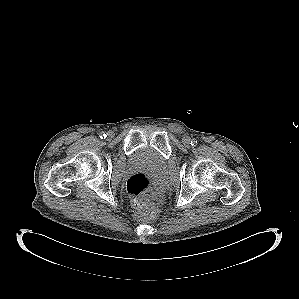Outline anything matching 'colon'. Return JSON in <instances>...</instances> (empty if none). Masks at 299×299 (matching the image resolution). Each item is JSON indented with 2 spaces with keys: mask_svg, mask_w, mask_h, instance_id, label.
Here are the masks:
<instances>
[{
  "mask_svg": "<svg viewBox=\"0 0 299 299\" xmlns=\"http://www.w3.org/2000/svg\"><path fill=\"white\" fill-rule=\"evenodd\" d=\"M126 188L131 195L132 204L141 216L148 217L154 214L155 205L151 199V192L154 188L153 179L143 172L131 175Z\"/></svg>",
  "mask_w": 299,
  "mask_h": 299,
  "instance_id": "obj_1",
  "label": "colon"
}]
</instances>
